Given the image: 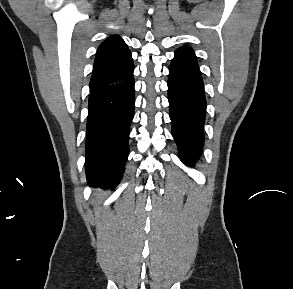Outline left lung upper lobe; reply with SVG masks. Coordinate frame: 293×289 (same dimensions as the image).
<instances>
[{
  "label": "left lung upper lobe",
  "instance_id": "left-lung-upper-lobe-1",
  "mask_svg": "<svg viewBox=\"0 0 293 289\" xmlns=\"http://www.w3.org/2000/svg\"><path fill=\"white\" fill-rule=\"evenodd\" d=\"M176 52H191V53H193L192 49L187 46L177 49Z\"/></svg>",
  "mask_w": 293,
  "mask_h": 289
}]
</instances>
